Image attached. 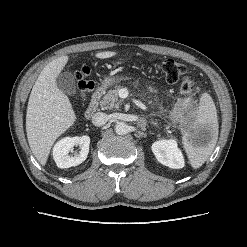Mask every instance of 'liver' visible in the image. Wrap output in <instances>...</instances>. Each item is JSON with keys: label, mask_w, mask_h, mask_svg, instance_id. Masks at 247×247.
I'll use <instances>...</instances> for the list:
<instances>
[{"label": "liver", "mask_w": 247, "mask_h": 247, "mask_svg": "<svg viewBox=\"0 0 247 247\" xmlns=\"http://www.w3.org/2000/svg\"><path fill=\"white\" fill-rule=\"evenodd\" d=\"M117 52L104 51L96 58L106 59ZM69 60L61 56L49 62L39 74L29 97L26 114V132L35 158L45 165L50 150L66 130L74 125L76 114L68 97L58 88L56 78Z\"/></svg>", "instance_id": "6515ba94"}]
</instances>
